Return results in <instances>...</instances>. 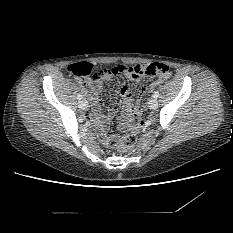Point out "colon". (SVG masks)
Wrapping results in <instances>:
<instances>
[{
    "instance_id": "colon-1",
    "label": "colon",
    "mask_w": 233,
    "mask_h": 233,
    "mask_svg": "<svg viewBox=\"0 0 233 233\" xmlns=\"http://www.w3.org/2000/svg\"><path fill=\"white\" fill-rule=\"evenodd\" d=\"M69 74L79 77L86 82L92 75L94 79L104 78L110 75L124 73L133 78H147L152 80L158 77H164L169 71V67L162 63H152L146 67L140 65L116 64L109 67L97 68L90 62H78L70 64L67 67ZM126 112L134 117H139L141 108L138 105L128 104L125 106ZM141 125V120H138V126ZM136 138L132 133H128L120 138L112 140V145L116 153H125L131 150L135 145Z\"/></svg>"
}]
</instances>
